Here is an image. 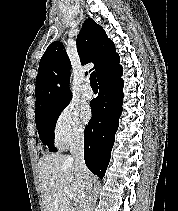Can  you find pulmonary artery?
<instances>
[{
	"label": "pulmonary artery",
	"mask_w": 178,
	"mask_h": 211,
	"mask_svg": "<svg viewBox=\"0 0 178 211\" xmlns=\"http://www.w3.org/2000/svg\"><path fill=\"white\" fill-rule=\"evenodd\" d=\"M82 94L86 99H91L93 97V90L89 81L85 82Z\"/></svg>",
	"instance_id": "e3ab8cb5"
}]
</instances>
